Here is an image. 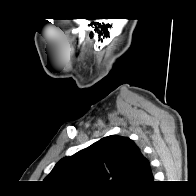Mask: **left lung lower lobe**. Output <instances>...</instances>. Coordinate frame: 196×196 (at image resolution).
Masks as SVG:
<instances>
[{
	"label": "left lung lower lobe",
	"instance_id": "0a47b994",
	"mask_svg": "<svg viewBox=\"0 0 196 196\" xmlns=\"http://www.w3.org/2000/svg\"><path fill=\"white\" fill-rule=\"evenodd\" d=\"M152 181H153V175H152V171H151V168H150L146 177H145V180H144L143 184H148V183H151Z\"/></svg>",
	"mask_w": 196,
	"mask_h": 196
}]
</instances>
